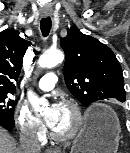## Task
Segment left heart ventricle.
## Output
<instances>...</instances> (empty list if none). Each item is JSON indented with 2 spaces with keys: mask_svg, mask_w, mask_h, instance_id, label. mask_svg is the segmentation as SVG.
I'll use <instances>...</instances> for the list:
<instances>
[{
  "mask_svg": "<svg viewBox=\"0 0 130 153\" xmlns=\"http://www.w3.org/2000/svg\"><path fill=\"white\" fill-rule=\"evenodd\" d=\"M73 123L74 115L72 111L68 107L60 105L57 117L51 127L59 133H66L70 130Z\"/></svg>",
  "mask_w": 130,
  "mask_h": 153,
  "instance_id": "left-heart-ventricle-1",
  "label": "left heart ventricle"
}]
</instances>
